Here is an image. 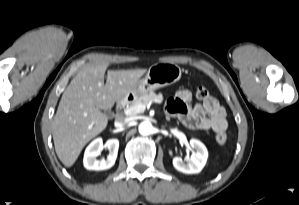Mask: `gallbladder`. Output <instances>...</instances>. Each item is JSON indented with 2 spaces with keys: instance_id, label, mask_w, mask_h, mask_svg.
<instances>
[{
  "instance_id": "obj_1",
  "label": "gallbladder",
  "mask_w": 299,
  "mask_h": 205,
  "mask_svg": "<svg viewBox=\"0 0 299 205\" xmlns=\"http://www.w3.org/2000/svg\"><path fill=\"white\" fill-rule=\"evenodd\" d=\"M105 114H107V115L110 114V111H109V110H106V111H105Z\"/></svg>"
}]
</instances>
